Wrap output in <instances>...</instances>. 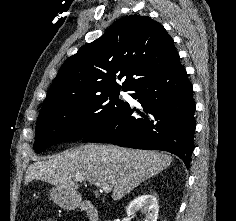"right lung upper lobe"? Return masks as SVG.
Masks as SVG:
<instances>
[{"mask_svg": "<svg viewBox=\"0 0 236 221\" xmlns=\"http://www.w3.org/2000/svg\"><path fill=\"white\" fill-rule=\"evenodd\" d=\"M177 55L173 39L157 21L140 15L121 18L62 64L42 109L120 90L118 82L125 76L122 89L130 90Z\"/></svg>", "mask_w": 236, "mask_h": 221, "instance_id": "cb5924a9", "label": "right lung upper lobe"}]
</instances>
